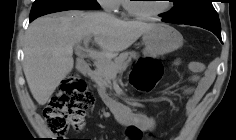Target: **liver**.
<instances>
[{
	"instance_id": "obj_1",
	"label": "liver",
	"mask_w": 236,
	"mask_h": 140,
	"mask_svg": "<svg viewBox=\"0 0 236 140\" xmlns=\"http://www.w3.org/2000/svg\"><path fill=\"white\" fill-rule=\"evenodd\" d=\"M155 23L124 21L104 12L68 11L34 20L25 34L23 71L39 105H45L74 65L73 46L87 37L111 59Z\"/></svg>"
}]
</instances>
